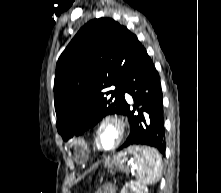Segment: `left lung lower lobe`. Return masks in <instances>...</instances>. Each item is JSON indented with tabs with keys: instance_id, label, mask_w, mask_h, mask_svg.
I'll use <instances>...</instances> for the list:
<instances>
[{
	"instance_id": "1",
	"label": "left lung lower lobe",
	"mask_w": 221,
	"mask_h": 193,
	"mask_svg": "<svg viewBox=\"0 0 221 193\" xmlns=\"http://www.w3.org/2000/svg\"><path fill=\"white\" fill-rule=\"evenodd\" d=\"M132 96L137 109L131 111L124 94ZM121 94L125 100L123 114L127 115L131 125L130 136L119 149L133 145H149L157 149L165 144L163 117V96L160 77L145 48L140 44L134 53L123 77ZM154 107L159 118L148 122L146 113ZM137 111V112H135ZM165 155V146L160 148Z\"/></svg>"
}]
</instances>
